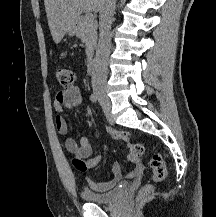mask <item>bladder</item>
<instances>
[{"label": "bladder", "mask_w": 216, "mask_h": 217, "mask_svg": "<svg viewBox=\"0 0 216 217\" xmlns=\"http://www.w3.org/2000/svg\"><path fill=\"white\" fill-rule=\"evenodd\" d=\"M126 189V186L117 187L116 189L107 193H96L90 190H81L82 197L89 203L95 204H111L115 202Z\"/></svg>", "instance_id": "31cf9c89"}]
</instances>
